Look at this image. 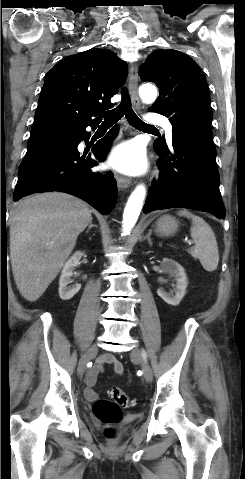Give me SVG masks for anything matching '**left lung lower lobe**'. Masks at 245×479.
<instances>
[{
    "mask_svg": "<svg viewBox=\"0 0 245 479\" xmlns=\"http://www.w3.org/2000/svg\"><path fill=\"white\" fill-rule=\"evenodd\" d=\"M154 149L160 156L157 165L161 173L149 188L144 213L188 208L224 218L216 150L209 132L173 131L170 150L159 142Z\"/></svg>",
    "mask_w": 245,
    "mask_h": 479,
    "instance_id": "1",
    "label": "left lung lower lobe"
}]
</instances>
